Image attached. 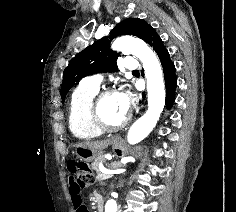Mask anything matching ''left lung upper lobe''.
<instances>
[{
    "instance_id": "1",
    "label": "left lung upper lobe",
    "mask_w": 236,
    "mask_h": 212,
    "mask_svg": "<svg viewBox=\"0 0 236 212\" xmlns=\"http://www.w3.org/2000/svg\"><path fill=\"white\" fill-rule=\"evenodd\" d=\"M152 29L153 27L143 19L127 18L118 23L107 36L78 53L63 72L62 102L65 101L66 94L73 85L83 77L117 70L119 54L110 49V43L115 37L130 34L146 42Z\"/></svg>"
}]
</instances>
